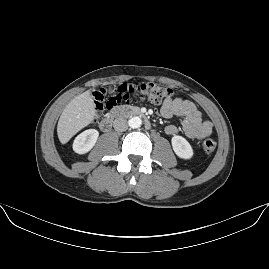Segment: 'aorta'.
Returning <instances> with one entry per match:
<instances>
[{
	"label": "aorta",
	"instance_id": "obj_1",
	"mask_svg": "<svg viewBox=\"0 0 269 269\" xmlns=\"http://www.w3.org/2000/svg\"><path fill=\"white\" fill-rule=\"evenodd\" d=\"M128 125L132 129H138L142 125V120L138 116L130 117L129 120H128Z\"/></svg>",
	"mask_w": 269,
	"mask_h": 269
}]
</instances>
